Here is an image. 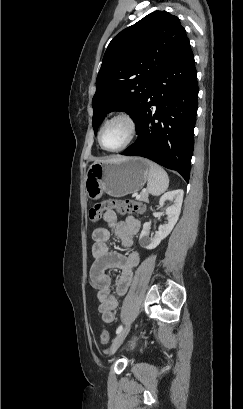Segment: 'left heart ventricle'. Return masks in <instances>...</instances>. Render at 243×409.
I'll return each mask as SVG.
<instances>
[{
    "label": "left heart ventricle",
    "instance_id": "1",
    "mask_svg": "<svg viewBox=\"0 0 243 409\" xmlns=\"http://www.w3.org/2000/svg\"><path fill=\"white\" fill-rule=\"evenodd\" d=\"M128 135L127 124L123 121H114L103 129L101 139L105 147L115 149L127 140Z\"/></svg>",
    "mask_w": 243,
    "mask_h": 409
}]
</instances>
